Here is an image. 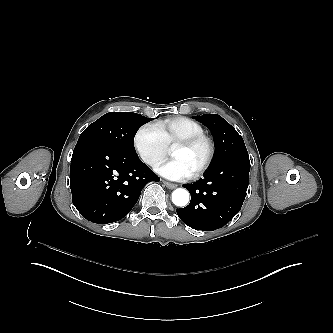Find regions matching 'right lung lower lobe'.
Here are the masks:
<instances>
[{"mask_svg": "<svg viewBox=\"0 0 333 333\" xmlns=\"http://www.w3.org/2000/svg\"><path fill=\"white\" fill-rule=\"evenodd\" d=\"M159 177L137 156L123 154L97 139L77 142L70 166L72 201L79 213L94 223L125 217L141 190Z\"/></svg>", "mask_w": 333, "mask_h": 333, "instance_id": "right-lung-lower-lobe-1", "label": "right lung lower lobe"}]
</instances>
